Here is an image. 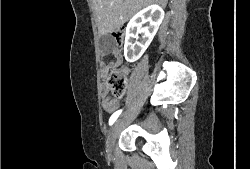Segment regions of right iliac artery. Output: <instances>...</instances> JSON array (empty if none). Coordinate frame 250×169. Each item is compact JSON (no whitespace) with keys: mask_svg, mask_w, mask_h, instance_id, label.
I'll use <instances>...</instances> for the list:
<instances>
[{"mask_svg":"<svg viewBox=\"0 0 250 169\" xmlns=\"http://www.w3.org/2000/svg\"><path fill=\"white\" fill-rule=\"evenodd\" d=\"M122 110H118L116 111L109 119V125H112L116 119L118 118V116L121 114Z\"/></svg>","mask_w":250,"mask_h":169,"instance_id":"obj_1","label":"right iliac artery"}]
</instances>
